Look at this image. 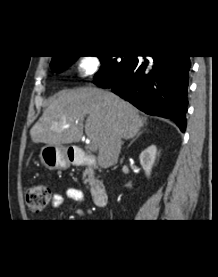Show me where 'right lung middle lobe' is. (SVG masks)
<instances>
[{"mask_svg":"<svg viewBox=\"0 0 218 277\" xmlns=\"http://www.w3.org/2000/svg\"><path fill=\"white\" fill-rule=\"evenodd\" d=\"M77 56L56 57L51 61V68L55 72H61L70 66ZM98 56L101 61V68L96 73L95 78L97 82L114 83L119 77V74L130 66L136 59L134 56Z\"/></svg>","mask_w":218,"mask_h":277,"instance_id":"dd1d6c3e","label":"right lung middle lobe"}]
</instances>
